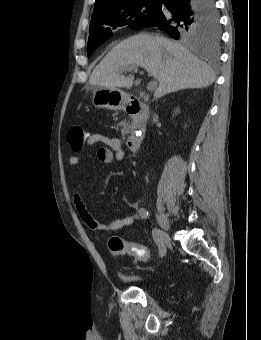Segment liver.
Returning <instances> with one entry per match:
<instances>
[{
    "mask_svg": "<svg viewBox=\"0 0 261 340\" xmlns=\"http://www.w3.org/2000/svg\"><path fill=\"white\" fill-rule=\"evenodd\" d=\"M142 66L159 83L154 96L186 88H204L213 84L215 74L205 62L179 43L150 34H137L116 45L95 67L91 87L131 88L134 77L122 70Z\"/></svg>",
    "mask_w": 261,
    "mask_h": 340,
    "instance_id": "liver-1",
    "label": "liver"
}]
</instances>
